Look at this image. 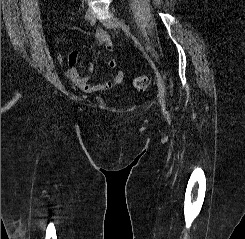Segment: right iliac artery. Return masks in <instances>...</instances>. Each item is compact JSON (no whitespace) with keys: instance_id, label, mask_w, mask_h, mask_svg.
<instances>
[{"instance_id":"right-iliac-artery-1","label":"right iliac artery","mask_w":245,"mask_h":239,"mask_svg":"<svg viewBox=\"0 0 245 239\" xmlns=\"http://www.w3.org/2000/svg\"><path fill=\"white\" fill-rule=\"evenodd\" d=\"M95 19H92V21L90 22V26L92 27V26H94L95 25Z\"/></svg>"}]
</instances>
